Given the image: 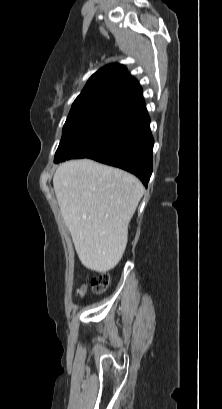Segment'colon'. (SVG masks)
Returning <instances> with one entry per match:
<instances>
[{
    "instance_id": "1",
    "label": "colon",
    "mask_w": 222,
    "mask_h": 409,
    "mask_svg": "<svg viewBox=\"0 0 222 409\" xmlns=\"http://www.w3.org/2000/svg\"><path fill=\"white\" fill-rule=\"evenodd\" d=\"M109 283H110L109 275L106 273H102L92 278L91 287L94 293L101 294L108 289Z\"/></svg>"
}]
</instances>
